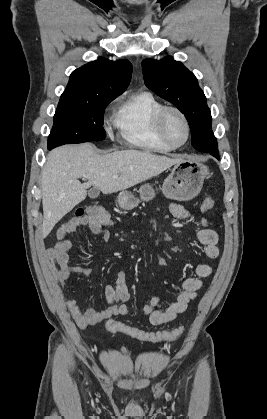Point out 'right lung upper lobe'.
<instances>
[{
    "mask_svg": "<svg viewBox=\"0 0 267 419\" xmlns=\"http://www.w3.org/2000/svg\"><path fill=\"white\" fill-rule=\"evenodd\" d=\"M132 65L127 60L99 58L70 75L62 98L112 97L122 94L129 85Z\"/></svg>",
    "mask_w": 267,
    "mask_h": 419,
    "instance_id": "cb5924a9",
    "label": "right lung upper lobe"
}]
</instances>
